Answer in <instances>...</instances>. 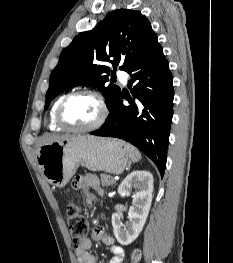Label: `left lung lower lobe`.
<instances>
[{"instance_id":"1","label":"left lung lower lobe","mask_w":233,"mask_h":263,"mask_svg":"<svg viewBox=\"0 0 233 263\" xmlns=\"http://www.w3.org/2000/svg\"><path fill=\"white\" fill-rule=\"evenodd\" d=\"M133 98L120 94L100 129L92 135L116 137L143 151L164 175L173 116V78L157 37L127 68ZM122 98L130 103L123 105Z\"/></svg>"}]
</instances>
